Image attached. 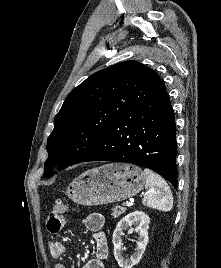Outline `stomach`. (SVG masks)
Returning a JSON list of instances; mask_svg holds the SVG:
<instances>
[{"label": "stomach", "mask_w": 221, "mask_h": 268, "mask_svg": "<svg viewBox=\"0 0 221 268\" xmlns=\"http://www.w3.org/2000/svg\"><path fill=\"white\" fill-rule=\"evenodd\" d=\"M146 176L133 164L109 163L85 171L66 189L68 198L80 205L97 206L123 201L143 188Z\"/></svg>", "instance_id": "0dacf381"}]
</instances>
